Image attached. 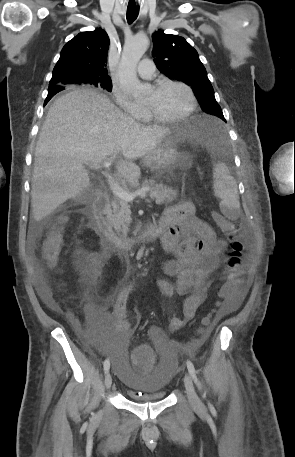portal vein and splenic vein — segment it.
Segmentation results:
<instances>
[{
    "label": "portal vein and splenic vein",
    "mask_w": 295,
    "mask_h": 457,
    "mask_svg": "<svg viewBox=\"0 0 295 457\" xmlns=\"http://www.w3.org/2000/svg\"><path fill=\"white\" fill-rule=\"evenodd\" d=\"M116 158V154H114L110 159H107L103 162V166L105 169L109 170L111 164L113 163L114 159ZM106 176L108 178V184L110 189L112 190L113 194L119 197L124 201H133L137 196L145 197L147 192L150 190L149 187L141 188L133 193L127 192L124 190L118 182L114 179L112 174L107 171Z\"/></svg>",
    "instance_id": "portal-vein-and-splenic-vein-1"
}]
</instances>
